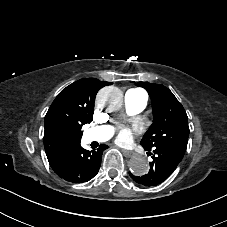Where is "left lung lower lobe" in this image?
I'll return each instance as SVG.
<instances>
[{"mask_svg":"<svg viewBox=\"0 0 227 227\" xmlns=\"http://www.w3.org/2000/svg\"><path fill=\"white\" fill-rule=\"evenodd\" d=\"M151 150H153L154 154L149 172L141 177L129 173L133 180L145 186H155L166 180L183 158L182 155L176 154L171 149H147V151Z\"/></svg>","mask_w":227,"mask_h":227,"instance_id":"left-lung-lower-lobe-1","label":"left lung lower lobe"}]
</instances>
